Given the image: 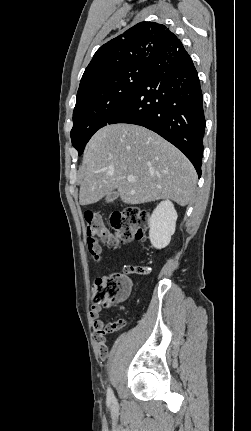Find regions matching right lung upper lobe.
Returning <instances> with one entry per match:
<instances>
[{
    "label": "right lung upper lobe",
    "mask_w": 251,
    "mask_h": 431,
    "mask_svg": "<svg viewBox=\"0 0 251 431\" xmlns=\"http://www.w3.org/2000/svg\"><path fill=\"white\" fill-rule=\"evenodd\" d=\"M181 48V41L165 25L140 22L97 50L81 78L78 92L126 68L148 65L151 58Z\"/></svg>",
    "instance_id": "right-lung-upper-lobe-1"
}]
</instances>
